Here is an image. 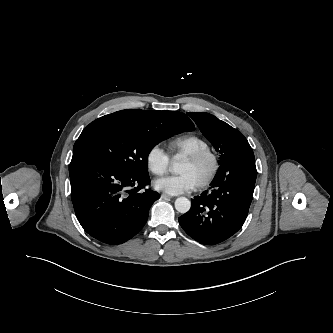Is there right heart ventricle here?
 Segmentation results:
<instances>
[{"label":"right heart ventricle","instance_id":"1","mask_svg":"<svg viewBox=\"0 0 333 333\" xmlns=\"http://www.w3.org/2000/svg\"><path fill=\"white\" fill-rule=\"evenodd\" d=\"M167 145L173 159L186 157L202 150H209V144L203 138L195 134L178 135L171 138L167 142Z\"/></svg>","mask_w":333,"mask_h":333}]
</instances>
